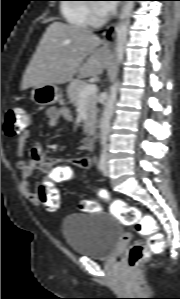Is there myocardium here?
I'll return each mask as SVG.
<instances>
[{
	"label": "myocardium",
	"mask_w": 180,
	"mask_h": 299,
	"mask_svg": "<svg viewBox=\"0 0 180 299\" xmlns=\"http://www.w3.org/2000/svg\"><path fill=\"white\" fill-rule=\"evenodd\" d=\"M98 8L99 7H97V5H90L91 21L92 24L95 26L101 25L105 21V18L103 17Z\"/></svg>",
	"instance_id": "myocardium-1"
}]
</instances>
